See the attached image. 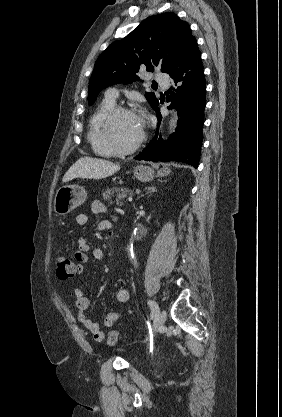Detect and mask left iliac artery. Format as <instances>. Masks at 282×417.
Returning <instances> with one entry per match:
<instances>
[{
	"label": "left iliac artery",
	"mask_w": 282,
	"mask_h": 417,
	"mask_svg": "<svg viewBox=\"0 0 282 417\" xmlns=\"http://www.w3.org/2000/svg\"><path fill=\"white\" fill-rule=\"evenodd\" d=\"M148 305L150 306V309H151V317L152 318H155L158 315V313H159V307H158V305L153 300H149L148 301Z\"/></svg>",
	"instance_id": "1"
}]
</instances>
